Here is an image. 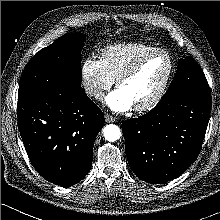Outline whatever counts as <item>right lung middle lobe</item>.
<instances>
[{
  "label": "right lung middle lobe",
  "mask_w": 220,
  "mask_h": 220,
  "mask_svg": "<svg viewBox=\"0 0 220 220\" xmlns=\"http://www.w3.org/2000/svg\"><path fill=\"white\" fill-rule=\"evenodd\" d=\"M84 42L82 33H70L37 52L21 75L18 98L82 90L80 51Z\"/></svg>",
  "instance_id": "obj_1"
}]
</instances>
